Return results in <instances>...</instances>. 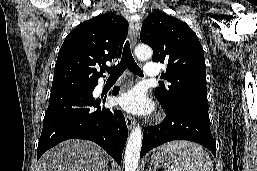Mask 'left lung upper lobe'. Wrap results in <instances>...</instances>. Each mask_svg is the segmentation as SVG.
<instances>
[{"instance_id":"obj_1","label":"left lung upper lobe","mask_w":257,"mask_h":171,"mask_svg":"<svg viewBox=\"0 0 257 171\" xmlns=\"http://www.w3.org/2000/svg\"><path fill=\"white\" fill-rule=\"evenodd\" d=\"M140 39L152 47L154 62L168 63L163 77L171 85L155 89L160 102L194 101L207 105L204 51L186 23L163 12H153L143 22Z\"/></svg>"}]
</instances>
